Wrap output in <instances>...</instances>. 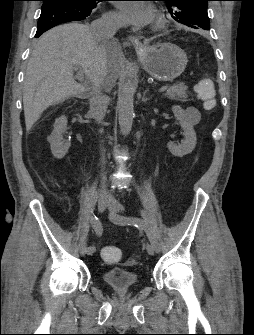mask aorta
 <instances>
[{"label": "aorta", "mask_w": 254, "mask_h": 335, "mask_svg": "<svg viewBox=\"0 0 254 335\" xmlns=\"http://www.w3.org/2000/svg\"><path fill=\"white\" fill-rule=\"evenodd\" d=\"M135 83L133 73H129L118 92V120L121 133L126 136L130 133L134 118Z\"/></svg>", "instance_id": "obj_1"}]
</instances>
